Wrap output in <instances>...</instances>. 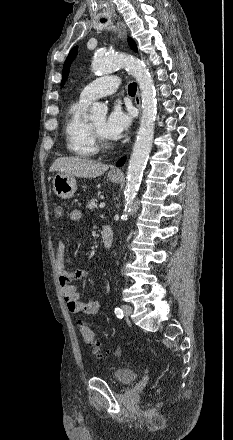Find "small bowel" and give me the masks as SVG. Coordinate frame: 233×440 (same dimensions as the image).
<instances>
[{
	"mask_svg": "<svg viewBox=\"0 0 233 440\" xmlns=\"http://www.w3.org/2000/svg\"><path fill=\"white\" fill-rule=\"evenodd\" d=\"M68 218L72 222L79 221L82 218V212L78 209L72 210ZM65 250V244L60 241L55 251V267L68 310L73 314L95 316L100 311L99 301H81L78 290L71 284L77 279L88 277L89 273L85 269L71 270L67 268L65 265Z\"/></svg>",
	"mask_w": 233,
	"mask_h": 440,
	"instance_id": "obj_1",
	"label": "small bowel"
}]
</instances>
